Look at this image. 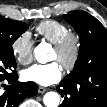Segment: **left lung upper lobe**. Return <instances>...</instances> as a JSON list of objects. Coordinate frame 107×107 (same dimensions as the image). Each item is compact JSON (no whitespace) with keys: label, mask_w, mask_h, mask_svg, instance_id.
<instances>
[{"label":"left lung upper lobe","mask_w":107,"mask_h":107,"mask_svg":"<svg viewBox=\"0 0 107 107\" xmlns=\"http://www.w3.org/2000/svg\"><path fill=\"white\" fill-rule=\"evenodd\" d=\"M63 17L79 35L80 50L74 71L62 81L75 89L67 97L69 107H83L85 95L80 83L100 76L107 78V30L85 11H71Z\"/></svg>","instance_id":"obj_1"}]
</instances>
